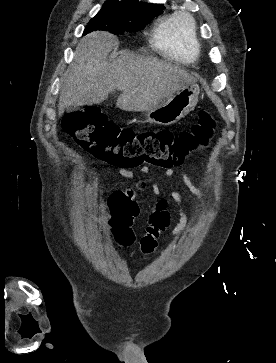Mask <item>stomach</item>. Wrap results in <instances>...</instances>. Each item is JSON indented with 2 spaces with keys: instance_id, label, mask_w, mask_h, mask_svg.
Returning <instances> with one entry per match:
<instances>
[{
  "instance_id": "1",
  "label": "stomach",
  "mask_w": 276,
  "mask_h": 363,
  "mask_svg": "<svg viewBox=\"0 0 276 363\" xmlns=\"http://www.w3.org/2000/svg\"><path fill=\"white\" fill-rule=\"evenodd\" d=\"M200 88L196 83L186 84L164 103L145 112L148 122L158 125H171L192 111L198 102Z\"/></svg>"
}]
</instances>
